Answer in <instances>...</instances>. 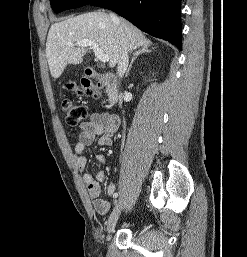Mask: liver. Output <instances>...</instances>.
Wrapping results in <instances>:
<instances>
[{"label":"liver","instance_id":"liver-1","mask_svg":"<svg viewBox=\"0 0 247 257\" xmlns=\"http://www.w3.org/2000/svg\"><path fill=\"white\" fill-rule=\"evenodd\" d=\"M122 26L128 50L149 46L150 40L134 25L124 19L114 22L104 12H90L64 21L54 23L49 30L46 42V57L53 78H58L68 64H80L88 49L85 47H70L68 43L88 39L94 41L109 56V66L118 64L124 51Z\"/></svg>","mask_w":247,"mask_h":257}]
</instances>
